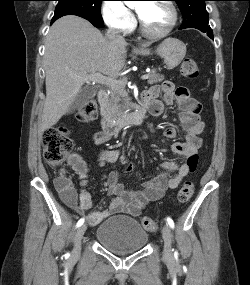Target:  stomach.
<instances>
[{
	"label": "stomach",
	"mask_w": 250,
	"mask_h": 285,
	"mask_svg": "<svg viewBox=\"0 0 250 285\" xmlns=\"http://www.w3.org/2000/svg\"><path fill=\"white\" fill-rule=\"evenodd\" d=\"M156 54L163 58L168 69L177 67L186 55L185 44L176 38L165 39L156 49ZM142 56H148L151 53L149 49H141L137 51Z\"/></svg>",
	"instance_id": "0dacf381"
}]
</instances>
